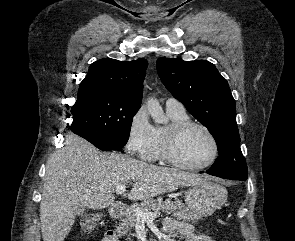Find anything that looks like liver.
<instances>
[{
	"label": "liver",
	"mask_w": 295,
	"mask_h": 241,
	"mask_svg": "<svg viewBox=\"0 0 295 241\" xmlns=\"http://www.w3.org/2000/svg\"><path fill=\"white\" fill-rule=\"evenodd\" d=\"M209 177L148 164L130 156L99 152L81 137L68 135L47 161L40 203L43 241H64L79 208L111 205L118 186H133L130 200L151 199Z\"/></svg>",
	"instance_id": "6515ba94"
}]
</instances>
